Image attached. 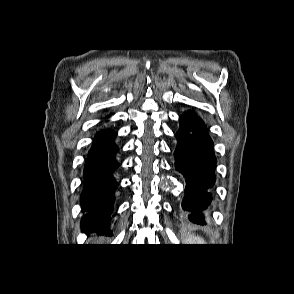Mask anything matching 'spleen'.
Masks as SVG:
<instances>
[{
    "mask_svg": "<svg viewBox=\"0 0 294 294\" xmlns=\"http://www.w3.org/2000/svg\"><path fill=\"white\" fill-rule=\"evenodd\" d=\"M184 242H186L187 244H204V239L199 237V236H187L184 239Z\"/></svg>",
    "mask_w": 294,
    "mask_h": 294,
    "instance_id": "obj_1",
    "label": "spleen"
}]
</instances>
